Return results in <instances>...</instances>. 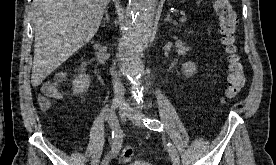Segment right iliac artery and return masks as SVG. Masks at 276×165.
<instances>
[{
  "instance_id": "obj_1",
  "label": "right iliac artery",
  "mask_w": 276,
  "mask_h": 165,
  "mask_svg": "<svg viewBox=\"0 0 276 165\" xmlns=\"http://www.w3.org/2000/svg\"><path fill=\"white\" fill-rule=\"evenodd\" d=\"M106 119L111 127L112 130V148L111 151L108 153V155L105 158H113L116 156V154L119 151L120 148V142L122 138V130L120 129L119 122L116 117H113L109 113V109H106Z\"/></svg>"
}]
</instances>
